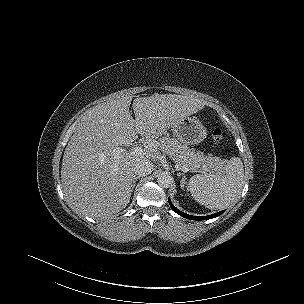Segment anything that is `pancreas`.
<instances>
[{
	"instance_id": "cf45deb5",
	"label": "pancreas",
	"mask_w": 304,
	"mask_h": 304,
	"mask_svg": "<svg viewBox=\"0 0 304 304\" xmlns=\"http://www.w3.org/2000/svg\"><path fill=\"white\" fill-rule=\"evenodd\" d=\"M161 150L169 155L180 167L186 166L192 172H219L224 166V160L211 154L195 152L187 145H182L176 139L166 137L160 139Z\"/></svg>"
}]
</instances>
